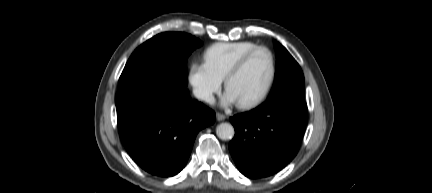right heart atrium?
Wrapping results in <instances>:
<instances>
[{
	"instance_id": "right-heart-atrium-1",
	"label": "right heart atrium",
	"mask_w": 432,
	"mask_h": 193,
	"mask_svg": "<svg viewBox=\"0 0 432 193\" xmlns=\"http://www.w3.org/2000/svg\"><path fill=\"white\" fill-rule=\"evenodd\" d=\"M188 80L195 96L207 103L213 101L214 95L219 93L222 84V81L204 62H194L190 65Z\"/></svg>"
}]
</instances>
